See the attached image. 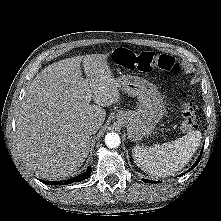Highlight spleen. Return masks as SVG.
I'll return each instance as SVG.
<instances>
[{
	"label": "spleen",
	"instance_id": "3e777b00",
	"mask_svg": "<svg viewBox=\"0 0 221 221\" xmlns=\"http://www.w3.org/2000/svg\"><path fill=\"white\" fill-rule=\"evenodd\" d=\"M201 138L200 131H191L177 140L160 146H135L132 149V156L136 165L149 175L170 176L191 160L200 145Z\"/></svg>",
	"mask_w": 221,
	"mask_h": 221
}]
</instances>
